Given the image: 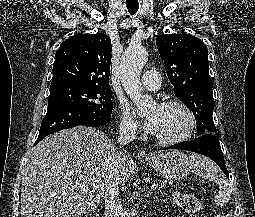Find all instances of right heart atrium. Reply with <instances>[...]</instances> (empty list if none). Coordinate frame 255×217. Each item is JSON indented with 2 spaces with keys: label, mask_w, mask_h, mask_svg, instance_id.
Here are the masks:
<instances>
[{
  "label": "right heart atrium",
  "mask_w": 255,
  "mask_h": 217,
  "mask_svg": "<svg viewBox=\"0 0 255 217\" xmlns=\"http://www.w3.org/2000/svg\"><path fill=\"white\" fill-rule=\"evenodd\" d=\"M120 130L123 134L134 136L138 132V124L127 107L120 110Z\"/></svg>",
  "instance_id": "d8ad5b80"
}]
</instances>
